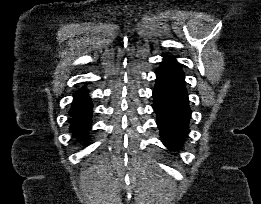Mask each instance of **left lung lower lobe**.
Wrapping results in <instances>:
<instances>
[{"label": "left lung lower lobe", "mask_w": 261, "mask_h": 204, "mask_svg": "<svg viewBox=\"0 0 261 204\" xmlns=\"http://www.w3.org/2000/svg\"><path fill=\"white\" fill-rule=\"evenodd\" d=\"M156 72L153 109L164 145L173 151L183 147L189 130L191 109L185 88L184 73L173 59L164 55Z\"/></svg>", "instance_id": "obj_1"}]
</instances>
